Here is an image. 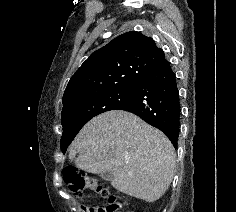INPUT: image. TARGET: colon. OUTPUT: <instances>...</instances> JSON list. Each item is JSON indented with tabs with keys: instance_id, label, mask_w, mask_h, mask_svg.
Here are the masks:
<instances>
[{
	"instance_id": "colon-1",
	"label": "colon",
	"mask_w": 236,
	"mask_h": 212,
	"mask_svg": "<svg viewBox=\"0 0 236 212\" xmlns=\"http://www.w3.org/2000/svg\"><path fill=\"white\" fill-rule=\"evenodd\" d=\"M63 177L65 184L76 196L83 197L87 191H94L107 200L106 207H87L86 212H120L125 206V202L118 200L93 177L74 167H67L64 170Z\"/></svg>"
}]
</instances>
